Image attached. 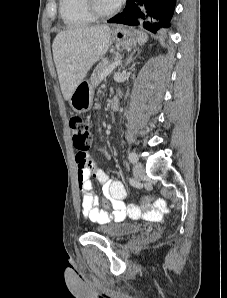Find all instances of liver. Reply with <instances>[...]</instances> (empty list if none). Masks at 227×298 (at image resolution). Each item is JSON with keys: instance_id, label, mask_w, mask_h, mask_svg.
Segmentation results:
<instances>
[{"instance_id": "1", "label": "liver", "mask_w": 227, "mask_h": 298, "mask_svg": "<svg viewBox=\"0 0 227 298\" xmlns=\"http://www.w3.org/2000/svg\"><path fill=\"white\" fill-rule=\"evenodd\" d=\"M112 31L106 26L75 27L58 33L53 59L64 99H70L90 68L107 52Z\"/></svg>"}]
</instances>
